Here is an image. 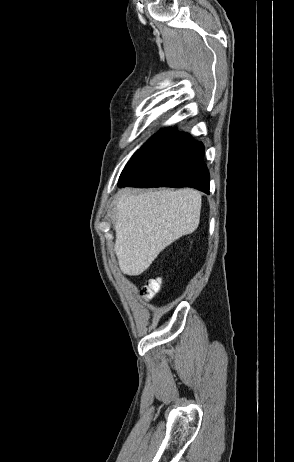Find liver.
<instances>
[{
	"mask_svg": "<svg viewBox=\"0 0 294 462\" xmlns=\"http://www.w3.org/2000/svg\"><path fill=\"white\" fill-rule=\"evenodd\" d=\"M201 195L193 189L119 193L114 225L121 271L138 276L159 253L180 237L193 233L200 220Z\"/></svg>",
	"mask_w": 294,
	"mask_h": 462,
	"instance_id": "obj_1",
	"label": "liver"
}]
</instances>
